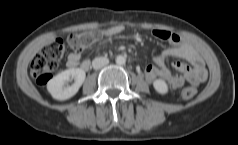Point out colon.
<instances>
[{
  "instance_id": "1",
  "label": "colon",
  "mask_w": 238,
  "mask_h": 145,
  "mask_svg": "<svg viewBox=\"0 0 238 145\" xmlns=\"http://www.w3.org/2000/svg\"><path fill=\"white\" fill-rule=\"evenodd\" d=\"M99 37V33L94 30L70 34L66 40L55 39L45 45L33 58L30 65V72L33 79L40 85H45L53 77L59 61L62 59L66 45L81 52L86 47L94 43ZM197 90L194 87L182 89L180 95L183 99H191Z\"/></svg>"
}]
</instances>
